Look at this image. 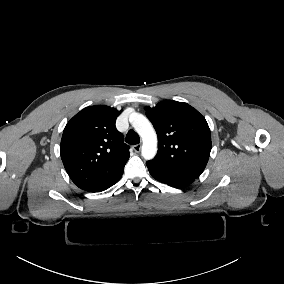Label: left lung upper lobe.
Wrapping results in <instances>:
<instances>
[{
    "label": "left lung upper lobe",
    "mask_w": 284,
    "mask_h": 284,
    "mask_svg": "<svg viewBox=\"0 0 284 284\" xmlns=\"http://www.w3.org/2000/svg\"><path fill=\"white\" fill-rule=\"evenodd\" d=\"M158 134V153L149 165L191 178L204 171L211 151V134L205 118L184 102L165 100L146 109Z\"/></svg>",
    "instance_id": "left-lung-upper-lobe-1"
}]
</instances>
